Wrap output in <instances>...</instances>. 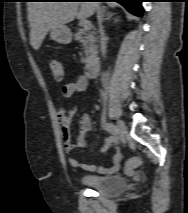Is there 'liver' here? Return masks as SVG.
<instances>
[{
  "label": "liver",
  "instance_id": "obj_1",
  "mask_svg": "<svg viewBox=\"0 0 188 213\" xmlns=\"http://www.w3.org/2000/svg\"><path fill=\"white\" fill-rule=\"evenodd\" d=\"M104 10L98 2H28L30 43L38 50L49 30L79 19L90 17L97 9Z\"/></svg>",
  "mask_w": 188,
  "mask_h": 213
}]
</instances>
